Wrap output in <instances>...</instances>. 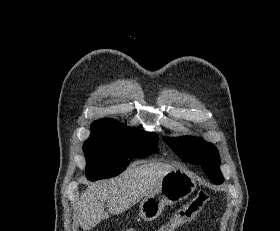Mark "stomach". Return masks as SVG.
<instances>
[{"instance_id": "stomach-1", "label": "stomach", "mask_w": 280, "mask_h": 231, "mask_svg": "<svg viewBox=\"0 0 280 231\" xmlns=\"http://www.w3.org/2000/svg\"><path fill=\"white\" fill-rule=\"evenodd\" d=\"M195 177L184 167H175L162 177L153 191L144 197L139 205V215L145 221H152L161 215L165 205L177 203L196 189Z\"/></svg>"}]
</instances>
